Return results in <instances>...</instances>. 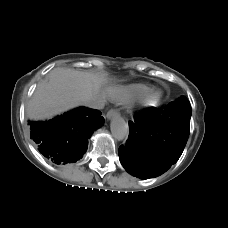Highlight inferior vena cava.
Returning <instances> with one entry per match:
<instances>
[{"mask_svg":"<svg viewBox=\"0 0 228 228\" xmlns=\"http://www.w3.org/2000/svg\"><path fill=\"white\" fill-rule=\"evenodd\" d=\"M84 105L89 108H92V109H103L105 106V100L100 95V96L87 100Z\"/></svg>","mask_w":228,"mask_h":228,"instance_id":"inferior-vena-cava-1","label":"inferior vena cava"}]
</instances>
